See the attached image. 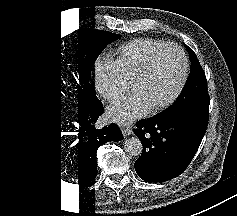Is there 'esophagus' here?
Here are the masks:
<instances>
[{"instance_id": "esophagus-1", "label": "esophagus", "mask_w": 237, "mask_h": 216, "mask_svg": "<svg viewBox=\"0 0 237 216\" xmlns=\"http://www.w3.org/2000/svg\"><path fill=\"white\" fill-rule=\"evenodd\" d=\"M121 130H122L124 136H128L132 133L131 126H122Z\"/></svg>"}]
</instances>
